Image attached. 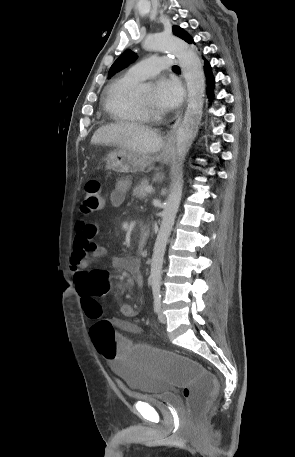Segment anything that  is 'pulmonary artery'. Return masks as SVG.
<instances>
[{"instance_id":"pulmonary-artery-1","label":"pulmonary artery","mask_w":295,"mask_h":457,"mask_svg":"<svg viewBox=\"0 0 295 457\" xmlns=\"http://www.w3.org/2000/svg\"><path fill=\"white\" fill-rule=\"evenodd\" d=\"M173 60L167 56H151L128 69L126 75L139 82L157 75L161 70L169 69Z\"/></svg>"}]
</instances>
